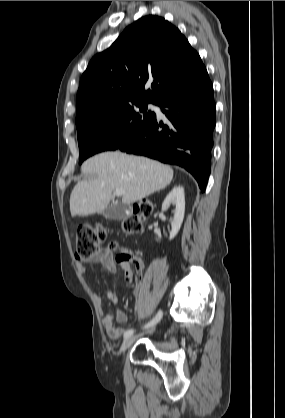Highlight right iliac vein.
I'll return each instance as SVG.
<instances>
[{
	"label": "right iliac vein",
	"mask_w": 285,
	"mask_h": 418,
	"mask_svg": "<svg viewBox=\"0 0 285 418\" xmlns=\"http://www.w3.org/2000/svg\"><path fill=\"white\" fill-rule=\"evenodd\" d=\"M140 335H136V336H129L128 338H126L125 340H124V342L122 343V345H121V348H120V352L122 353V352H124V351H126L134 342H135V340L139 337Z\"/></svg>",
	"instance_id": "63e3f726"
}]
</instances>
